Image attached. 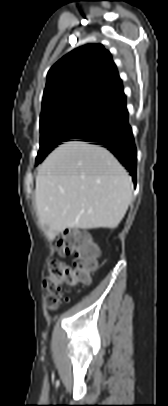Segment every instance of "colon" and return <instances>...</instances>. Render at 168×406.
Instances as JSON below:
<instances>
[{"instance_id": "colon-1", "label": "colon", "mask_w": 168, "mask_h": 406, "mask_svg": "<svg viewBox=\"0 0 168 406\" xmlns=\"http://www.w3.org/2000/svg\"><path fill=\"white\" fill-rule=\"evenodd\" d=\"M56 247L59 255L72 256L73 263L53 260L48 266L43 288L51 309L57 306L65 288L91 282L99 256L98 248L88 235L75 229L63 231L56 240Z\"/></svg>"}]
</instances>
